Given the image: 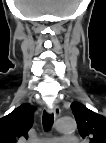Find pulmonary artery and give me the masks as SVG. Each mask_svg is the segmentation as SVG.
I'll return each mask as SVG.
<instances>
[{"label": "pulmonary artery", "instance_id": "1", "mask_svg": "<svg viewBox=\"0 0 106 143\" xmlns=\"http://www.w3.org/2000/svg\"><path fill=\"white\" fill-rule=\"evenodd\" d=\"M62 139L67 140V141H76L77 140L74 136H67ZM58 141H60V139H58V138L51 140V142H58Z\"/></svg>", "mask_w": 106, "mask_h": 143}]
</instances>
